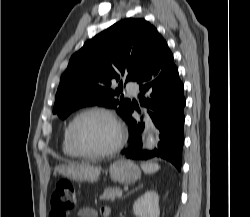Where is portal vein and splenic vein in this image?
Wrapping results in <instances>:
<instances>
[{"label": "portal vein and splenic vein", "instance_id": "1", "mask_svg": "<svg viewBox=\"0 0 250 217\" xmlns=\"http://www.w3.org/2000/svg\"><path fill=\"white\" fill-rule=\"evenodd\" d=\"M117 196L121 197L122 196V191H120Z\"/></svg>", "mask_w": 250, "mask_h": 217}]
</instances>
